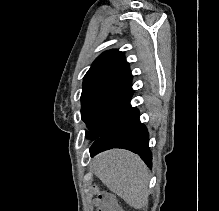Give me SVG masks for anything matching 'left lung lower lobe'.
I'll return each mask as SVG.
<instances>
[{
    "mask_svg": "<svg viewBox=\"0 0 219 211\" xmlns=\"http://www.w3.org/2000/svg\"><path fill=\"white\" fill-rule=\"evenodd\" d=\"M112 148H124L137 153L149 167L152 166L149 134L140 122L137 108L132 107L110 133L96 139L90 147V155L93 157Z\"/></svg>",
    "mask_w": 219,
    "mask_h": 211,
    "instance_id": "1",
    "label": "left lung lower lobe"
}]
</instances>
